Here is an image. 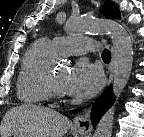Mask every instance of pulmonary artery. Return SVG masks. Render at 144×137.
<instances>
[{"label":"pulmonary artery","mask_w":144,"mask_h":137,"mask_svg":"<svg viewBox=\"0 0 144 137\" xmlns=\"http://www.w3.org/2000/svg\"><path fill=\"white\" fill-rule=\"evenodd\" d=\"M58 55H81L95 52L99 43L88 37L63 36L52 41Z\"/></svg>","instance_id":"obj_1"}]
</instances>
